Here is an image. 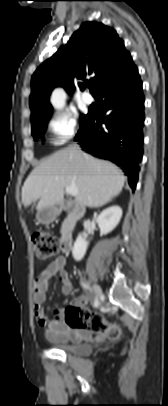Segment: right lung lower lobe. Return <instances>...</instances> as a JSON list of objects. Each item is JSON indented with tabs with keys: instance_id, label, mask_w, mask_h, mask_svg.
I'll list each match as a JSON object with an SVG mask.
<instances>
[{
	"instance_id": "obj_1",
	"label": "right lung lower lobe",
	"mask_w": 168,
	"mask_h": 406,
	"mask_svg": "<svg viewBox=\"0 0 168 406\" xmlns=\"http://www.w3.org/2000/svg\"><path fill=\"white\" fill-rule=\"evenodd\" d=\"M95 96L101 100L103 110L89 112L76 141L87 153L123 167L134 191L143 155L145 119L142 82L137 67L130 68L123 76L102 87ZM101 115H106L105 120Z\"/></svg>"
}]
</instances>
